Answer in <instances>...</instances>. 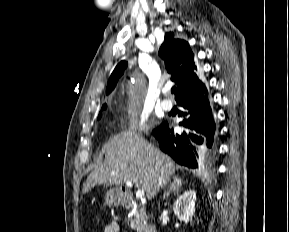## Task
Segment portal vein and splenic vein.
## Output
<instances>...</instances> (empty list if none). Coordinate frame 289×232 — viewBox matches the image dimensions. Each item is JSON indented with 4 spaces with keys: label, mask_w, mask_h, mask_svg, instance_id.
I'll return each mask as SVG.
<instances>
[{
    "label": "portal vein and splenic vein",
    "mask_w": 289,
    "mask_h": 232,
    "mask_svg": "<svg viewBox=\"0 0 289 232\" xmlns=\"http://www.w3.org/2000/svg\"><path fill=\"white\" fill-rule=\"evenodd\" d=\"M126 185L128 187H133V183L131 181H125ZM144 190L143 189H137L136 191V197L139 198V199H143L144 197Z\"/></svg>",
    "instance_id": "portal-vein-and-splenic-vein-1"
}]
</instances>
